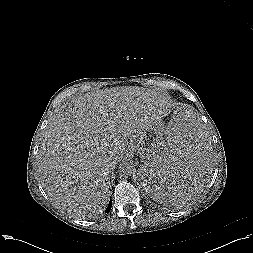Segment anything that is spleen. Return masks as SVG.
<instances>
[{
    "instance_id": "3e777b00",
    "label": "spleen",
    "mask_w": 253,
    "mask_h": 253,
    "mask_svg": "<svg viewBox=\"0 0 253 253\" xmlns=\"http://www.w3.org/2000/svg\"><path fill=\"white\" fill-rule=\"evenodd\" d=\"M213 167L206 121L197 111L184 109L170 119L168 134L144 164L139 184L156 202L180 204L207 186Z\"/></svg>"
}]
</instances>
